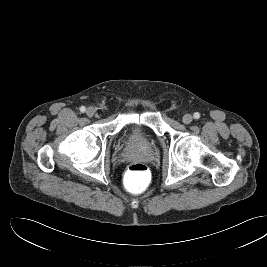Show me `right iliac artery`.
Instances as JSON below:
<instances>
[{
  "label": "right iliac artery",
  "mask_w": 267,
  "mask_h": 267,
  "mask_svg": "<svg viewBox=\"0 0 267 267\" xmlns=\"http://www.w3.org/2000/svg\"><path fill=\"white\" fill-rule=\"evenodd\" d=\"M80 111H81L82 113H84V112L86 111V108H85L84 106H81V107H80Z\"/></svg>",
  "instance_id": "1"
}]
</instances>
